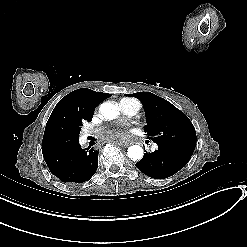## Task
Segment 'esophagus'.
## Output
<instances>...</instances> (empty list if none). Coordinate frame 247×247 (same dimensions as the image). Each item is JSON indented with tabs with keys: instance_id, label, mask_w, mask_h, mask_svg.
Listing matches in <instances>:
<instances>
[{
	"instance_id": "esophagus-1",
	"label": "esophagus",
	"mask_w": 247,
	"mask_h": 247,
	"mask_svg": "<svg viewBox=\"0 0 247 247\" xmlns=\"http://www.w3.org/2000/svg\"><path fill=\"white\" fill-rule=\"evenodd\" d=\"M124 148H127L128 146H133V141H124L122 144H121Z\"/></svg>"
}]
</instances>
